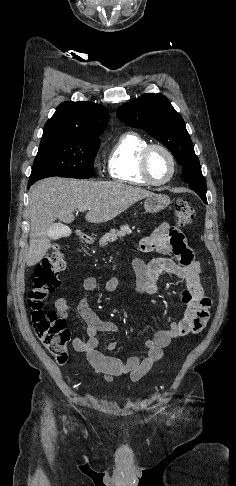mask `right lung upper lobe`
<instances>
[{
    "label": "right lung upper lobe",
    "mask_w": 236,
    "mask_h": 486,
    "mask_svg": "<svg viewBox=\"0 0 236 486\" xmlns=\"http://www.w3.org/2000/svg\"><path fill=\"white\" fill-rule=\"evenodd\" d=\"M108 111L88 101L61 103L44 126V133L70 134L83 138H97L106 128Z\"/></svg>",
    "instance_id": "cb5924a9"
}]
</instances>
